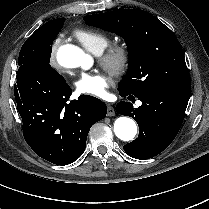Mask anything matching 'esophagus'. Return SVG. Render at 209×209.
<instances>
[{
    "label": "esophagus",
    "instance_id": "34e87169",
    "mask_svg": "<svg viewBox=\"0 0 209 209\" xmlns=\"http://www.w3.org/2000/svg\"><path fill=\"white\" fill-rule=\"evenodd\" d=\"M114 115H115V109L110 104H107V116H114Z\"/></svg>",
    "mask_w": 209,
    "mask_h": 209
}]
</instances>
